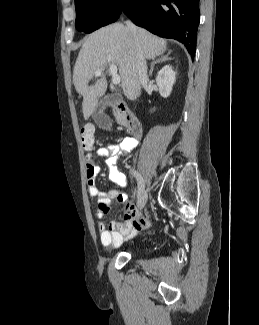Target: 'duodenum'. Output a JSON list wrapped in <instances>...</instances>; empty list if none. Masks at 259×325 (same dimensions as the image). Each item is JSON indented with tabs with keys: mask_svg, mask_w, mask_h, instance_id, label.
<instances>
[{
	"mask_svg": "<svg viewBox=\"0 0 259 325\" xmlns=\"http://www.w3.org/2000/svg\"><path fill=\"white\" fill-rule=\"evenodd\" d=\"M108 105L120 112L130 137L139 138L142 135V125L140 120L129 109L125 102L115 100L108 102Z\"/></svg>",
	"mask_w": 259,
	"mask_h": 325,
	"instance_id": "410a0bca",
	"label": "duodenum"
}]
</instances>
